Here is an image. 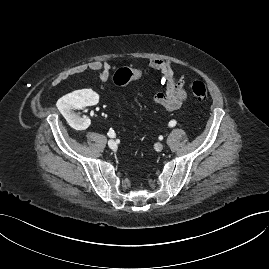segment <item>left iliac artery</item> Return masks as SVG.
I'll use <instances>...</instances> for the list:
<instances>
[{"label":"left iliac artery","mask_w":269,"mask_h":269,"mask_svg":"<svg viewBox=\"0 0 269 269\" xmlns=\"http://www.w3.org/2000/svg\"><path fill=\"white\" fill-rule=\"evenodd\" d=\"M168 125H169V127H174L176 125V121L171 120Z\"/></svg>","instance_id":"1"}]
</instances>
